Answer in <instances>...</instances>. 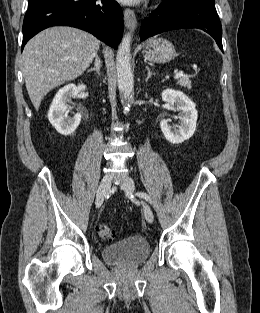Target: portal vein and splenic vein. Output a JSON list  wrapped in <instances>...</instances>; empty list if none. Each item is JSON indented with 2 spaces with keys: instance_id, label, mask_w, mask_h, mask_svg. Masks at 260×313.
Instances as JSON below:
<instances>
[{
  "instance_id": "portal-vein-and-splenic-vein-1",
  "label": "portal vein and splenic vein",
  "mask_w": 260,
  "mask_h": 313,
  "mask_svg": "<svg viewBox=\"0 0 260 313\" xmlns=\"http://www.w3.org/2000/svg\"><path fill=\"white\" fill-rule=\"evenodd\" d=\"M181 76H183V72H182V71H179V72L175 73L174 78H175V79H178V78H180Z\"/></svg>"
}]
</instances>
